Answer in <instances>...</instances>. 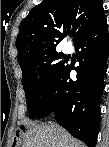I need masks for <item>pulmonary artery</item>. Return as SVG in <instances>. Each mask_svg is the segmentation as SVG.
Listing matches in <instances>:
<instances>
[{
	"instance_id": "obj_1",
	"label": "pulmonary artery",
	"mask_w": 109,
	"mask_h": 147,
	"mask_svg": "<svg viewBox=\"0 0 109 147\" xmlns=\"http://www.w3.org/2000/svg\"><path fill=\"white\" fill-rule=\"evenodd\" d=\"M71 51L72 50H71L70 46H65V48H64L65 53H70Z\"/></svg>"
}]
</instances>
